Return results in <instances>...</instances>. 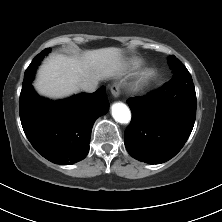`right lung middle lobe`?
Listing matches in <instances>:
<instances>
[{"label":"right lung middle lobe","mask_w":222,"mask_h":222,"mask_svg":"<svg viewBox=\"0 0 222 222\" xmlns=\"http://www.w3.org/2000/svg\"><path fill=\"white\" fill-rule=\"evenodd\" d=\"M50 51H51V48H47V49L43 50L41 53H39L37 56H35V58L31 62V64L29 65V67L25 71L23 85L28 84L32 81L36 67L39 65L43 56L45 54L49 53Z\"/></svg>","instance_id":"1"}]
</instances>
